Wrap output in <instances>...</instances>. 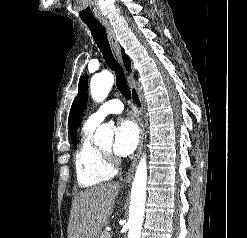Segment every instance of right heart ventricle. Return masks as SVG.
I'll return each instance as SVG.
<instances>
[{
	"mask_svg": "<svg viewBox=\"0 0 247 238\" xmlns=\"http://www.w3.org/2000/svg\"><path fill=\"white\" fill-rule=\"evenodd\" d=\"M94 130L95 127L84 125L81 142L75 155L76 179L82 188L102 184L116 174L114 166L93 143Z\"/></svg>",
	"mask_w": 247,
	"mask_h": 238,
	"instance_id": "e07e8e85",
	"label": "right heart ventricle"
}]
</instances>
